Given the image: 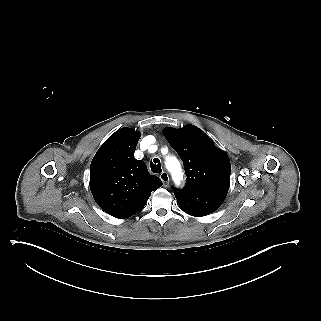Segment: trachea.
Listing matches in <instances>:
<instances>
[{"mask_svg": "<svg viewBox=\"0 0 321 321\" xmlns=\"http://www.w3.org/2000/svg\"><path fill=\"white\" fill-rule=\"evenodd\" d=\"M150 168L153 173H161L162 172L161 164H160V161L158 160V158H154L150 162Z\"/></svg>", "mask_w": 321, "mask_h": 321, "instance_id": "trachea-1", "label": "trachea"}]
</instances>
